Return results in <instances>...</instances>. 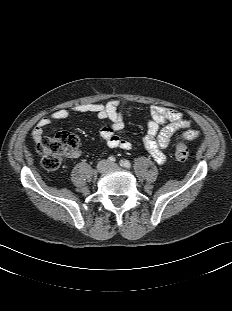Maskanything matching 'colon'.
<instances>
[{
  "label": "colon",
  "instance_id": "colon-1",
  "mask_svg": "<svg viewBox=\"0 0 232 311\" xmlns=\"http://www.w3.org/2000/svg\"><path fill=\"white\" fill-rule=\"evenodd\" d=\"M176 136L181 137V132L176 131ZM77 143V137L66 131L42 138L37 143L42 166L46 170H56L61 165L63 158L76 149ZM175 156L180 161H185L189 157V149L181 141L176 143Z\"/></svg>",
  "mask_w": 232,
  "mask_h": 311
}]
</instances>
